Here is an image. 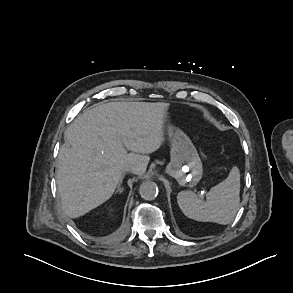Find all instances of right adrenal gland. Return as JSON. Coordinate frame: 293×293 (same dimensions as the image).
<instances>
[{
  "label": "right adrenal gland",
  "mask_w": 293,
  "mask_h": 293,
  "mask_svg": "<svg viewBox=\"0 0 293 293\" xmlns=\"http://www.w3.org/2000/svg\"><path fill=\"white\" fill-rule=\"evenodd\" d=\"M123 178H124V176H122V178H121V180H120V182L118 184L116 193H122L123 192V189L121 188V184H122Z\"/></svg>",
  "instance_id": "right-adrenal-gland-1"
}]
</instances>
